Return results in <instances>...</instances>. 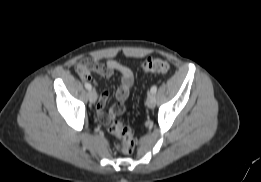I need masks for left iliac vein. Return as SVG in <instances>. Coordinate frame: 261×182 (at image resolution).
Instances as JSON below:
<instances>
[{
	"mask_svg": "<svg viewBox=\"0 0 261 182\" xmlns=\"http://www.w3.org/2000/svg\"><path fill=\"white\" fill-rule=\"evenodd\" d=\"M155 104H156L155 95H154V93H150V94L147 96L146 105H147L149 108H154Z\"/></svg>",
	"mask_w": 261,
	"mask_h": 182,
	"instance_id": "1",
	"label": "left iliac vein"
}]
</instances>
